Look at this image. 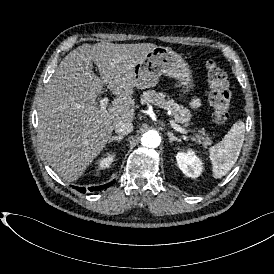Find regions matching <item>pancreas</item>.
I'll use <instances>...</instances> for the list:
<instances>
[{"instance_id": "1", "label": "pancreas", "mask_w": 274, "mask_h": 274, "mask_svg": "<svg viewBox=\"0 0 274 274\" xmlns=\"http://www.w3.org/2000/svg\"><path fill=\"white\" fill-rule=\"evenodd\" d=\"M142 103L152 106H158L160 109L171 112V116L175 118L176 123L185 124L190 122V113L183 105H179L165 93H158L155 90H148L143 93ZM203 128H199L193 141L202 144L203 147L212 144L213 137L209 133H205ZM201 134V135H200Z\"/></svg>"}]
</instances>
